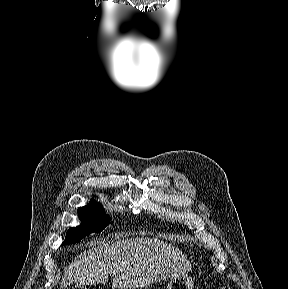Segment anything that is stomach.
Segmentation results:
<instances>
[{
  "label": "stomach",
  "instance_id": "stomach-1",
  "mask_svg": "<svg viewBox=\"0 0 288 289\" xmlns=\"http://www.w3.org/2000/svg\"><path fill=\"white\" fill-rule=\"evenodd\" d=\"M168 289H194V282L188 274H176L169 279Z\"/></svg>",
  "mask_w": 288,
  "mask_h": 289
}]
</instances>
